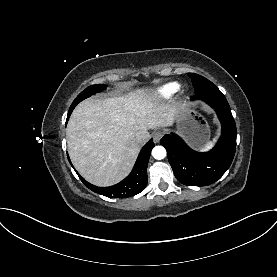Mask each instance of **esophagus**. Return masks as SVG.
I'll use <instances>...</instances> for the list:
<instances>
[{"mask_svg": "<svg viewBox=\"0 0 277 277\" xmlns=\"http://www.w3.org/2000/svg\"><path fill=\"white\" fill-rule=\"evenodd\" d=\"M164 135V131L162 130H157L153 133V138L155 140V142H159L160 139L163 137Z\"/></svg>", "mask_w": 277, "mask_h": 277, "instance_id": "esophagus-1", "label": "esophagus"}]
</instances>
